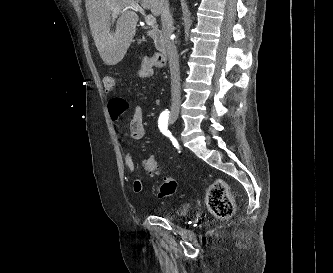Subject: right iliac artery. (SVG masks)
<instances>
[{
  "label": "right iliac artery",
  "instance_id": "82829eb1",
  "mask_svg": "<svg viewBox=\"0 0 333 273\" xmlns=\"http://www.w3.org/2000/svg\"><path fill=\"white\" fill-rule=\"evenodd\" d=\"M168 120H169V111L165 110L160 114L158 119V127L165 136H169L171 134L170 131L168 130Z\"/></svg>",
  "mask_w": 333,
  "mask_h": 273
}]
</instances>
